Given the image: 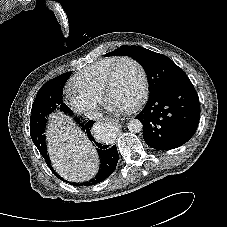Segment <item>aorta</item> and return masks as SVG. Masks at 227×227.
Segmentation results:
<instances>
[{"mask_svg": "<svg viewBox=\"0 0 227 227\" xmlns=\"http://www.w3.org/2000/svg\"><path fill=\"white\" fill-rule=\"evenodd\" d=\"M127 128L131 133H139L143 129V124L138 119H131L127 124Z\"/></svg>", "mask_w": 227, "mask_h": 227, "instance_id": "762f6f07", "label": "aorta"}]
</instances>
